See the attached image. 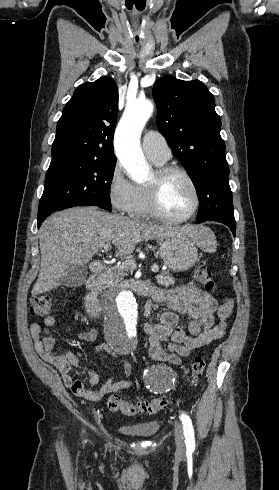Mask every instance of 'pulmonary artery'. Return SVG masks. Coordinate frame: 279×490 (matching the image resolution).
I'll use <instances>...</instances> for the list:
<instances>
[{"label": "pulmonary artery", "instance_id": "1", "mask_svg": "<svg viewBox=\"0 0 279 490\" xmlns=\"http://www.w3.org/2000/svg\"><path fill=\"white\" fill-rule=\"evenodd\" d=\"M142 148L145 155L160 165L171 157V150L164 136L157 130H148L142 138Z\"/></svg>", "mask_w": 279, "mask_h": 490}]
</instances>
